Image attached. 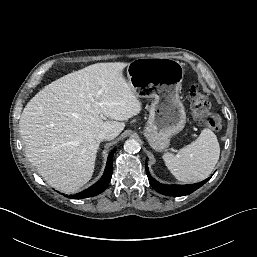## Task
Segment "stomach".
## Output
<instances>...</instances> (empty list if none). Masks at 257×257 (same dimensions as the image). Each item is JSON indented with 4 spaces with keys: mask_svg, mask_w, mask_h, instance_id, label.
Listing matches in <instances>:
<instances>
[{
    "mask_svg": "<svg viewBox=\"0 0 257 257\" xmlns=\"http://www.w3.org/2000/svg\"><path fill=\"white\" fill-rule=\"evenodd\" d=\"M184 73L182 64L170 58L136 59L127 66L133 92L148 89L153 99L143 134L156 151L166 149L170 138L185 126L186 113L179 96Z\"/></svg>",
    "mask_w": 257,
    "mask_h": 257,
    "instance_id": "stomach-1",
    "label": "stomach"
}]
</instances>
